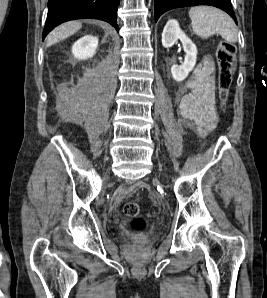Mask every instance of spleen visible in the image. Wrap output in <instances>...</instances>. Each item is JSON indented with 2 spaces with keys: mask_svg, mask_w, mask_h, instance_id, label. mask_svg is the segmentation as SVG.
<instances>
[{
  "mask_svg": "<svg viewBox=\"0 0 267 298\" xmlns=\"http://www.w3.org/2000/svg\"><path fill=\"white\" fill-rule=\"evenodd\" d=\"M189 16L192 29L199 37L208 38L219 34L226 42H237V27L224 11L210 6H195L190 9Z\"/></svg>",
  "mask_w": 267,
  "mask_h": 298,
  "instance_id": "obj_1",
  "label": "spleen"
}]
</instances>
